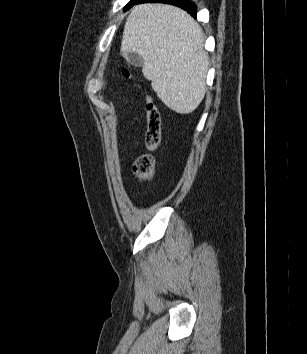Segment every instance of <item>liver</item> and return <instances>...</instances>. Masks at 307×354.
Instances as JSON below:
<instances>
[{
  "instance_id": "liver-1",
  "label": "liver",
  "mask_w": 307,
  "mask_h": 354,
  "mask_svg": "<svg viewBox=\"0 0 307 354\" xmlns=\"http://www.w3.org/2000/svg\"><path fill=\"white\" fill-rule=\"evenodd\" d=\"M204 34L184 10L167 4L133 7L121 52L140 55L142 73L161 101L179 114L193 112L204 98L209 57Z\"/></svg>"
}]
</instances>
